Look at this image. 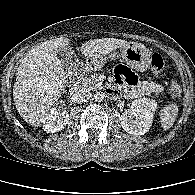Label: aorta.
<instances>
[{
	"label": "aorta",
	"instance_id": "aorta-1",
	"mask_svg": "<svg viewBox=\"0 0 195 195\" xmlns=\"http://www.w3.org/2000/svg\"><path fill=\"white\" fill-rule=\"evenodd\" d=\"M105 98V94L101 91L97 92L95 95H94V99L95 101H98V102H102Z\"/></svg>",
	"mask_w": 195,
	"mask_h": 195
}]
</instances>
